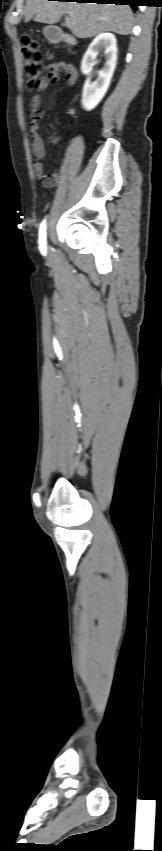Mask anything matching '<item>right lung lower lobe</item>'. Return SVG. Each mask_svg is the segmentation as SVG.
Masks as SVG:
<instances>
[{
    "label": "right lung lower lobe",
    "instance_id": "1",
    "mask_svg": "<svg viewBox=\"0 0 162 851\" xmlns=\"http://www.w3.org/2000/svg\"><path fill=\"white\" fill-rule=\"evenodd\" d=\"M70 1V0H59ZM76 2L98 3V4H116V5H131L138 6L139 0H74Z\"/></svg>",
    "mask_w": 162,
    "mask_h": 851
}]
</instances>
